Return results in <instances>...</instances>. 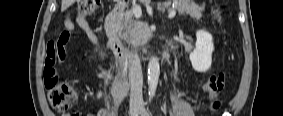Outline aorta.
<instances>
[{"label":"aorta","instance_id":"762f6f07","mask_svg":"<svg viewBox=\"0 0 283 116\" xmlns=\"http://www.w3.org/2000/svg\"><path fill=\"white\" fill-rule=\"evenodd\" d=\"M159 74V60L156 56H152L148 63V85L150 98L155 95L156 88L158 85Z\"/></svg>","mask_w":283,"mask_h":116}]
</instances>
